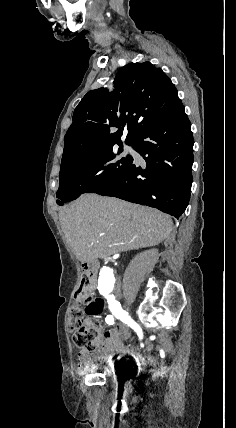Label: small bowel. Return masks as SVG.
<instances>
[{
  "mask_svg": "<svg viewBox=\"0 0 236 428\" xmlns=\"http://www.w3.org/2000/svg\"><path fill=\"white\" fill-rule=\"evenodd\" d=\"M108 320V318H107ZM130 336V329L127 325L121 323L115 329L106 331L103 334V341L100 348L93 354L82 350L78 354L79 371L92 369L97 363L113 365L123 354H131L136 360H140L138 354L133 352L132 348L126 345ZM151 342H147L144 349H150Z\"/></svg>",
  "mask_w": 236,
  "mask_h": 428,
  "instance_id": "small-bowel-1",
  "label": "small bowel"
}]
</instances>
